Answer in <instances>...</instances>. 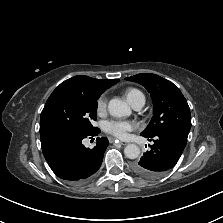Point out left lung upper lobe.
<instances>
[{
	"label": "left lung upper lobe",
	"instance_id": "1",
	"mask_svg": "<svg viewBox=\"0 0 223 223\" xmlns=\"http://www.w3.org/2000/svg\"><path fill=\"white\" fill-rule=\"evenodd\" d=\"M143 85L153 101V117L141 133L146 138L165 131H176L188 136L191 128L190 108L181 91L170 81L151 73L126 78Z\"/></svg>",
	"mask_w": 223,
	"mask_h": 223
}]
</instances>
